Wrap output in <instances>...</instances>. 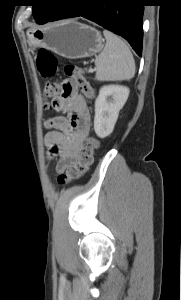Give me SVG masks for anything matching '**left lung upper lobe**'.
I'll use <instances>...</instances> for the list:
<instances>
[{
	"instance_id": "left-lung-upper-lobe-1",
	"label": "left lung upper lobe",
	"mask_w": 181,
	"mask_h": 300,
	"mask_svg": "<svg viewBox=\"0 0 181 300\" xmlns=\"http://www.w3.org/2000/svg\"><path fill=\"white\" fill-rule=\"evenodd\" d=\"M46 0H33V16L35 20L37 21L38 24H43L45 23L48 18H50L54 12L56 11L58 5H51V6H46L42 5L40 2H43Z\"/></svg>"
}]
</instances>
